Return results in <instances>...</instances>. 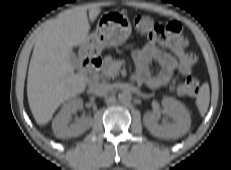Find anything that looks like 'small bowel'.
Instances as JSON below:
<instances>
[{
  "mask_svg": "<svg viewBox=\"0 0 231 170\" xmlns=\"http://www.w3.org/2000/svg\"><path fill=\"white\" fill-rule=\"evenodd\" d=\"M164 29L161 38H150L141 48L132 52L137 78L151 88L168 85L175 72L189 75L197 61V55L187 51L188 40L182 34L179 22L172 21ZM158 44L169 49L172 54L160 49ZM153 62L160 65V70L156 74L151 70Z\"/></svg>",
  "mask_w": 231,
  "mask_h": 170,
  "instance_id": "obj_1",
  "label": "small bowel"
}]
</instances>
